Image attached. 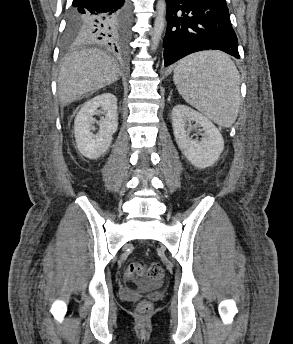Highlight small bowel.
I'll list each match as a JSON object with an SVG mask.
<instances>
[{
  "label": "small bowel",
  "mask_w": 293,
  "mask_h": 344,
  "mask_svg": "<svg viewBox=\"0 0 293 344\" xmlns=\"http://www.w3.org/2000/svg\"><path fill=\"white\" fill-rule=\"evenodd\" d=\"M125 278L127 282H130L132 280V276L125 274ZM121 295L122 297L126 298V299H135L137 294H136V290L130 286H125L121 289Z\"/></svg>",
  "instance_id": "small-bowel-1"
}]
</instances>
